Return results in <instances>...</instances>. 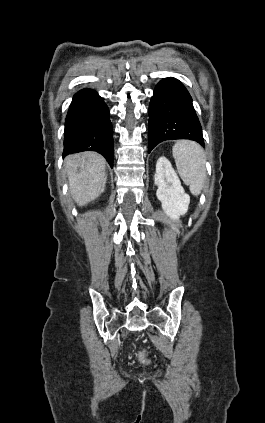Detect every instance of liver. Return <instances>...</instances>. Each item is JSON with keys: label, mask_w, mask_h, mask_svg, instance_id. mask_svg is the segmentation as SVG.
<instances>
[{"label": "liver", "mask_w": 265, "mask_h": 423, "mask_svg": "<svg viewBox=\"0 0 265 423\" xmlns=\"http://www.w3.org/2000/svg\"><path fill=\"white\" fill-rule=\"evenodd\" d=\"M69 191L79 206L96 199L105 189L106 160L96 152L73 154L64 161Z\"/></svg>", "instance_id": "liver-1"}]
</instances>
